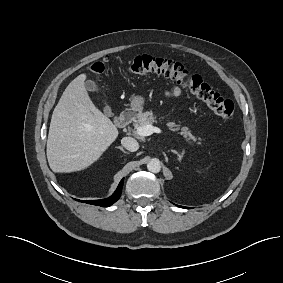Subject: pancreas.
I'll list each match as a JSON object with an SVG mask.
<instances>
[{"label": "pancreas", "mask_w": 283, "mask_h": 283, "mask_svg": "<svg viewBox=\"0 0 283 283\" xmlns=\"http://www.w3.org/2000/svg\"><path fill=\"white\" fill-rule=\"evenodd\" d=\"M153 123H157L156 116H154L152 111H146L144 113H139L137 115V120L134 124V127L137 129L141 126L152 125ZM168 127L172 131L181 130L180 134L187 140L197 142V144H201V138H197L194 136L188 127H182L180 124H176L175 122H169Z\"/></svg>", "instance_id": "obj_1"}]
</instances>
